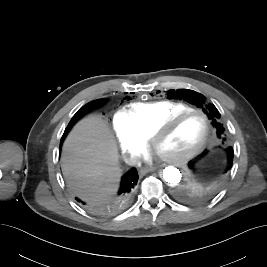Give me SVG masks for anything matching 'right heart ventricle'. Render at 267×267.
Returning a JSON list of instances; mask_svg holds the SVG:
<instances>
[{"mask_svg": "<svg viewBox=\"0 0 267 267\" xmlns=\"http://www.w3.org/2000/svg\"><path fill=\"white\" fill-rule=\"evenodd\" d=\"M192 109L186 103L161 100L148 103H133L124 111L133 128L146 140L155 129L171 115Z\"/></svg>", "mask_w": 267, "mask_h": 267, "instance_id": "right-heart-ventricle-1", "label": "right heart ventricle"}]
</instances>
